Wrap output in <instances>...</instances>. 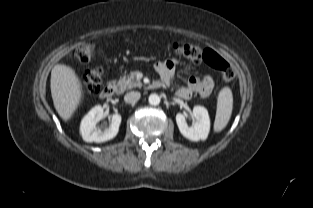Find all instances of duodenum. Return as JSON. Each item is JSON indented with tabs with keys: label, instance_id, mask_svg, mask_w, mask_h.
Returning a JSON list of instances; mask_svg holds the SVG:
<instances>
[{
	"label": "duodenum",
	"instance_id": "1",
	"mask_svg": "<svg viewBox=\"0 0 313 208\" xmlns=\"http://www.w3.org/2000/svg\"><path fill=\"white\" fill-rule=\"evenodd\" d=\"M166 84L164 81H157L154 83L155 86H162ZM115 85L114 84H107L103 87V89L101 90L100 93V97L103 99H108L110 97L113 96V94L115 93Z\"/></svg>",
	"mask_w": 313,
	"mask_h": 208
}]
</instances>
